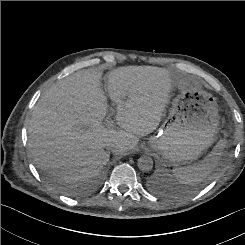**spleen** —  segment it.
I'll return each mask as SVG.
<instances>
[{"instance_id":"3e777b00","label":"spleen","mask_w":245,"mask_h":245,"mask_svg":"<svg viewBox=\"0 0 245 245\" xmlns=\"http://www.w3.org/2000/svg\"><path fill=\"white\" fill-rule=\"evenodd\" d=\"M226 147V140L221 139L212 151L201 161L189 166H176L173 168L175 179L181 184L192 186L202 182L218 166Z\"/></svg>"}]
</instances>
